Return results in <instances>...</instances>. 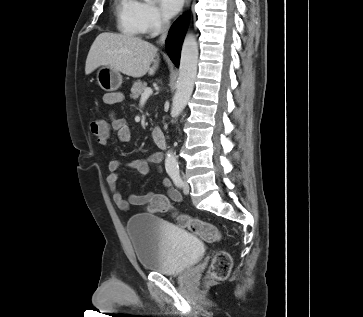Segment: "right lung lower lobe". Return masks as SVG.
I'll use <instances>...</instances> for the list:
<instances>
[{
    "label": "right lung lower lobe",
    "mask_w": 363,
    "mask_h": 317,
    "mask_svg": "<svg viewBox=\"0 0 363 317\" xmlns=\"http://www.w3.org/2000/svg\"><path fill=\"white\" fill-rule=\"evenodd\" d=\"M188 18L181 17L171 26L166 40V50L176 66L179 64L181 45L187 29Z\"/></svg>",
    "instance_id": "98d812e1"
}]
</instances>
